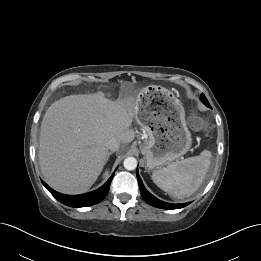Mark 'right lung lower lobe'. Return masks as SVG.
I'll use <instances>...</instances> for the list:
<instances>
[{
  "label": "right lung lower lobe",
  "mask_w": 261,
  "mask_h": 261,
  "mask_svg": "<svg viewBox=\"0 0 261 261\" xmlns=\"http://www.w3.org/2000/svg\"><path fill=\"white\" fill-rule=\"evenodd\" d=\"M114 174L108 179V181L99 189L86 193V194H81V195H65V194H60L57 191L51 189L44 181H42L43 185L49 190V192L61 203L70 206V207H86V206H91L94 204L99 203L102 201L108 191L109 187L112 181Z\"/></svg>",
  "instance_id": "obj_1"
}]
</instances>
